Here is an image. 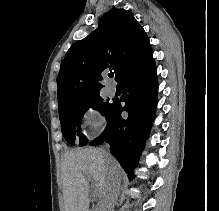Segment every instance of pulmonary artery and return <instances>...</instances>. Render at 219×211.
<instances>
[{
  "mask_svg": "<svg viewBox=\"0 0 219 211\" xmlns=\"http://www.w3.org/2000/svg\"><path fill=\"white\" fill-rule=\"evenodd\" d=\"M107 91H108V94L111 96L116 94V87L111 81H109L108 83Z\"/></svg>",
  "mask_w": 219,
  "mask_h": 211,
  "instance_id": "1",
  "label": "pulmonary artery"
}]
</instances>
